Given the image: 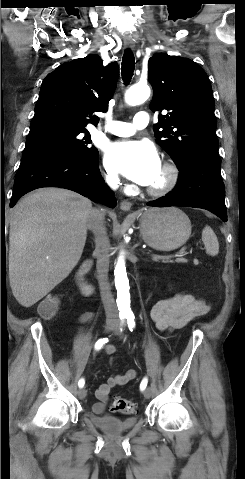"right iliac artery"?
Here are the masks:
<instances>
[{
	"label": "right iliac artery",
	"mask_w": 245,
	"mask_h": 479,
	"mask_svg": "<svg viewBox=\"0 0 245 479\" xmlns=\"http://www.w3.org/2000/svg\"><path fill=\"white\" fill-rule=\"evenodd\" d=\"M125 318H126L125 316H121V317H120V319H121V321H122V324L124 323ZM107 342H108V338L99 339V340L95 343V349H96V350L101 349L102 346H103L105 343H107ZM84 384H85L84 379H83V378L80 379L79 382H78V386H79L80 388H82V387L84 386Z\"/></svg>",
	"instance_id": "82829eb1"
}]
</instances>
